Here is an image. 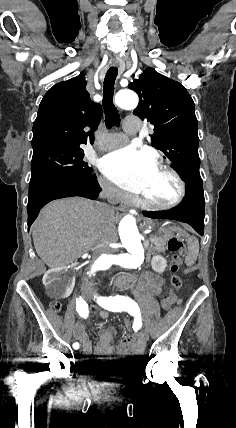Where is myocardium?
Listing matches in <instances>:
<instances>
[{
  "label": "myocardium",
  "instance_id": "obj_1",
  "mask_svg": "<svg viewBox=\"0 0 236 428\" xmlns=\"http://www.w3.org/2000/svg\"><path fill=\"white\" fill-rule=\"evenodd\" d=\"M155 169L164 170L169 176H171L175 180L178 186L177 194L171 201L167 203L156 202L141 195V202L144 205L156 210H171L176 208L184 201L187 195V185L185 179L170 163L166 161L156 163Z\"/></svg>",
  "mask_w": 236,
  "mask_h": 428
}]
</instances>
